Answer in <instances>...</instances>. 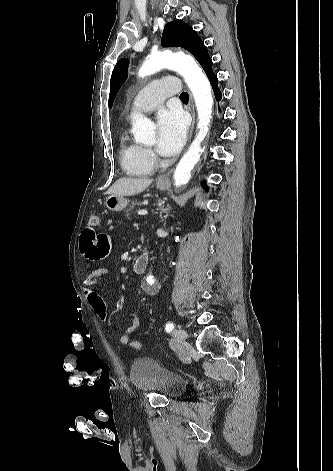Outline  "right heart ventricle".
<instances>
[{
	"label": "right heart ventricle",
	"instance_id": "obj_1",
	"mask_svg": "<svg viewBox=\"0 0 333 471\" xmlns=\"http://www.w3.org/2000/svg\"><path fill=\"white\" fill-rule=\"evenodd\" d=\"M119 156L123 170L131 176H147L153 171V162L149 159L147 149L133 141L127 132L119 140Z\"/></svg>",
	"mask_w": 333,
	"mask_h": 471
}]
</instances>
